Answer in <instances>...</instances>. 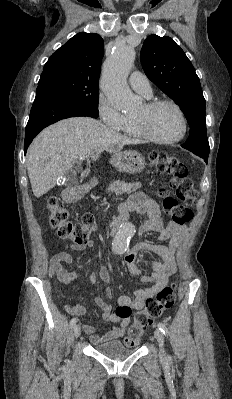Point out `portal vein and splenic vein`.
<instances>
[{
  "instance_id": "portal-vein-and-splenic-vein-1",
  "label": "portal vein and splenic vein",
  "mask_w": 232,
  "mask_h": 399,
  "mask_svg": "<svg viewBox=\"0 0 232 399\" xmlns=\"http://www.w3.org/2000/svg\"><path fill=\"white\" fill-rule=\"evenodd\" d=\"M79 160L82 162V160H85V156H80Z\"/></svg>"
}]
</instances>
